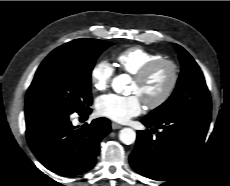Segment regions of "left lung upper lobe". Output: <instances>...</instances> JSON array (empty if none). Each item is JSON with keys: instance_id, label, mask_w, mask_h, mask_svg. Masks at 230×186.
<instances>
[{"instance_id": "left-lung-upper-lobe-1", "label": "left lung upper lobe", "mask_w": 230, "mask_h": 186, "mask_svg": "<svg viewBox=\"0 0 230 186\" xmlns=\"http://www.w3.org/2000/svg\"><path fill=\"white\" fill-rule=\"evenodd\" d=\"M182 65L176 89L171 97L146 117L153 120L180 113L211 111L209 90L197 63L181 46L175 44Z\"/></svg>"}]
</instances>
